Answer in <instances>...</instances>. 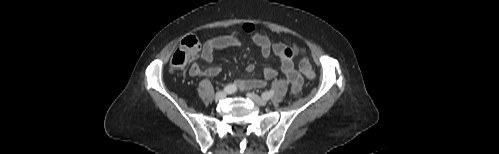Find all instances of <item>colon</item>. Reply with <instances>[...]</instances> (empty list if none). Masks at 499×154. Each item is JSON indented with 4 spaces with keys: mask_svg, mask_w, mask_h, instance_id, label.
I'll list each match as a JSON object with an SVG mask.
<instances>
[{
    "mask_svg": "<svg viewBox=\"0 0 499 154\" xmlns=\"http://www.w3.org/2000/svg\"><path fill=\"white\" fill-rule=\"evenodd\" d=\"M297 48V45H293ZM201 49L200 42L198 38L194 35L186 36L176 48L173 56L171 58V66L173 68H181L185 66L189 60L194 57ZM300 71L308 79L312 80L315 78V72L312 68L311 63L308 59H302L300 62Z\"/></svg>",
    "mask_w": 499,
    "mask_h": 154,
    "instance_id": "obj_1",
    "label": "colon"
}]
</instances>
